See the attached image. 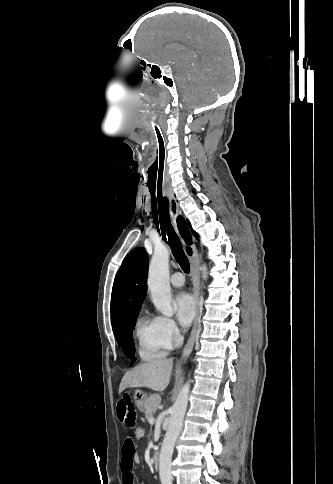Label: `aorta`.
<instances>
[{
  "label": "aorta",
  "mask_w": 333,
  "mask_h": 484,
  "mask_svg": "<svg viewBox=\"0 0 333 484\" xmlns=\"http://www.w3.org/2000/svg\"><path fill=\"white\" fill-rule=\"evenodd\" d=\"M203 278H207V268H201ZM148 289L155 308L164 316H172V294L169 282V250L164 246L157 247L149 264ZM190 382L180 390L172 406L169 426L164 437L159 456V476L161 484H172L171 465L175 442L183 427V418L188 405Z\"/></svg>",
  "instance_id": "aorta-1"
}]
</instances>
